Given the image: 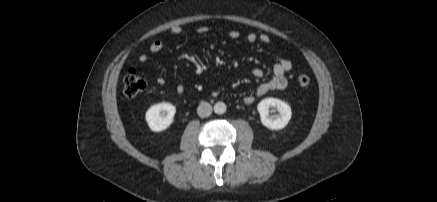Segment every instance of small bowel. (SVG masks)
I'll use <instances>...</instances> for the list:
<instances>
[{"instance_id":"1","label":"small bowel","mask_w":437,"mask_h":202,"mask_svg":"<svg viewBox=\"0 0 437 202\" xmlns=\"http://www.w3.org/2000/svg\"><path fill=\"white\" fill-rule=\"evenodd\" d=\"M209 31V28L207 26H201L197 29L198 34H205ZM170 35L175 37L179 36L182 33V28L180 26H174L169 31ZM228 37L231 39H238L241 36V33L237 30H231L227 33ZM246 40L249 43L254 42H261L263 44H269L270 43V37L265 34H256V33H249L246 36ZM165 48V43L161 40H156L153 43H151L149 47V51L152 54L160 53ZM138 61L141 64H144L148 61V56L145 54H142L138 57ZM292 63L288 59H281L278 63H276L273 67V73L270 80L267 82L262 83L258 88L255 90L254 93L248 95L245 97L244 101L246 104L253 103L258 97L266 94L269 91H280L284 90L288 85L287 80V73L291 70ZM252 74L256 78H260L263 76V71L259 68H256L252 71ZM157 83L159 85L165 84V79L163 77L157 78ZM184 91V87L182 85H178L176 87L177 93H182Z\"/></svg>"}]
</instances>
